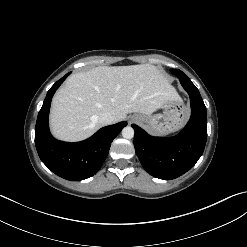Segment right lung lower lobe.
Listing matches in <instances>:
<instances>
[{"label": "right lung lower lobe", "mask_w": 247, "mask_h": 247, "mask_svg": "<svg viewBox=\"0 0 247 247\" xmlns=\"http://www.w3.org/2000/svg\"><path fill=\"white\" fill-rule=\"evenodd\" d=\"M69 74L58 80L47 93L37 117L35 145L40 159L53 173L70 181H78L98 172L109 153L113 139L127 123L120 122L101 128L82 142L67 143L53 138L48 126L51 100Z\"/></svg>", "instance_id": "right-lung-lower-lobe-1"}]
</instances>
